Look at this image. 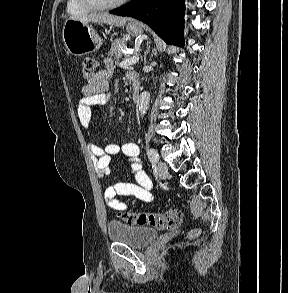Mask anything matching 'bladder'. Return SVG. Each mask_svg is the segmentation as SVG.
<instances>
[{"label": "bladder", "instance_id": "1", "mask_svg": "<svg viewBox=\"0 0 288 293\" xmlns=\"http://www.w3.org/2000/svg\"><path fill=\"white\" fill-rule=\"evenodd\" d=\"M107 232L111 241L133 248L146 247L158 235L157 231L151 227L126 224L115 220L108 223Z\"/></svg>", "mask_w": 288, "mask_h": 293}]
</instances>
